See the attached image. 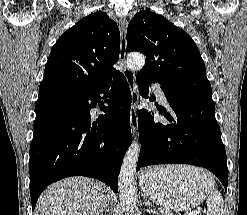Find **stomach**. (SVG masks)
I'll use <instances>...</instances> for the list:
<instances>
[{
	"mask_svg": "<svg viewBox=\"0 0 247 215\" xmlns=\"http://www.w3.org/2000/svg\"><path fill=\"white\" fill-rule=\"evenodd\" d=\"M140 183L149 199L174 211L196 207L213 188L210 174L181 165L149 168L140 177Z\"/></svg>",
	"mask_w": 247,
	"mask_h": 215,
	"instance_id": "stomach-1",
	"label": "stomach"
}]
</instances>
